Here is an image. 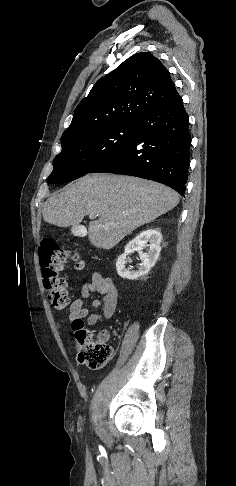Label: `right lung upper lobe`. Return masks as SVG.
I'll use <instances>...</instances> for the list:
<instances>
[{
	"instance_id": "1",
	"label": "right lung upper lobe",
	"mask_w": 236,
	"mask_h": 486,
	"mask_svg": "<svg viewBox=\"0 0 236 486\" xmlns=\"http://www.w3.org/2000/svg\"><path fill=\"white\" fill-rule=\"evenodd\" d=\"M181 99L168 70L149 52L134 54L99 79L76 107L62 141L91 130L136 123L149 111Z\"/></svg>"
}]
</instances>
